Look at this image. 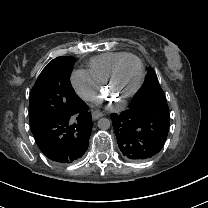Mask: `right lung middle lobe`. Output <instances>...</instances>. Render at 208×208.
Listing matches in <instances>:
<instances>
[{
  "label": "right lung middle lobe",
  "mask_w": 208,
  "mask_h": 208,
  "mask_svg": "<svg viewBox=\"0 0 208 208\" xmlns=\"http://www.w3.org/2000/svg\"><path fill=\"white\" fill-rule=\"evenodd\" d=\"M74 62L73 57H57L43 69L30 95V123L78 110L82 100L70 83V72Z\"/></svg>",
  "instance_id": "right-lung-middle-lobe-1"
}]
</instances>
